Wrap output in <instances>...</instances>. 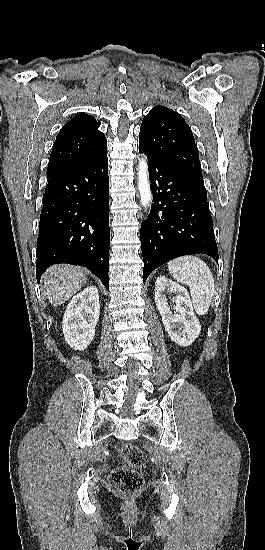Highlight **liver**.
Returning a JSON list of instances; mask_svg holds the SVG:
<instances>
[{
    "mask_svg": "<svg viewBox=\"0 0 265 550\" xmlns=\"http://www.w3.org/2000/svg\"><path fill=\"white\" fill-rule=\"evenodd\" d=\"M84 268L66 264L51 266L43 275V288L53 306H59L76 294L85 281Z\"/></svg>",
    "mask_w": 265,
    "mask_h": 550,
    "instance_id": "6515ba94",
    "label": "liver"
}]
</instances>
